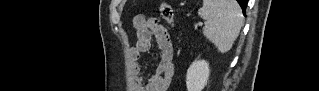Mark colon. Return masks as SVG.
Here are the masks:
<instances>
[{"mask_svg":"<svg viewBox=\"0 0 319 91\" xmlns=\"http://www.w3.org/2000/svg\"><path fill=\"white\" fill-rule=\"evenodd\" d=\"M160 14H161V17L167 22L169 26L173 25L174 9L170 4L166 2H162V4L160 5Z\"/></svg>","mask_w":319,"mask_h":91,"instance_id":"5ec220e1","label":"colon"}]
</instances>
